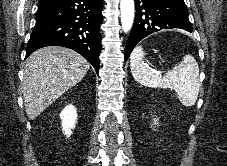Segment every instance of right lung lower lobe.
I'll list each match as a JSON object with an SVG mask.
<instances>
[{
  "instance_id": "obj_1",
  "label": "right lung lower lobe",
  "mask_w": 227,
  "mask_h": 166,
  "mask_svg": "<svg viewBox=\"0 0 227 166\" xmlns=\"http://www.w3.org/2000/svg\"><path fill=\"white\" fill-rule=\"evenodd\" d=\"M103 0H54L38 6L26 58L46 46H62L86 58L99 73Z\"/></svg>"
}]
</instances>
